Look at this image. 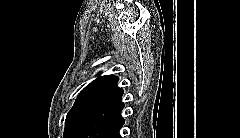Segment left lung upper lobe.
<instances>
[{
    "instance_id": "left-lung-upper-lobe-1",
    "label": "left lung upper lobe",
    "mask_w": 240,
    "mask_h": 138,
    "mask_svg": "<svg viewBox=\"0 0 240 138\" xmlns=\"http://www.w3.org/2000/svg\"><path fill=\"white\" fill-rule=\"evenodd\" d=\"M119 78L113 75L99 76L78 95L65 121L63 138H78L97 112L118 91Z\"/></svg>"
}]
</instances>
